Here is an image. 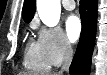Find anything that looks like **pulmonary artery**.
<instances>
[{
	"label": "pulmonary artery",
	"mask_w": 107,
	"mask_h": 75,
	"mask_svg": "<svg viewBox=\"0 0 107 75\" xmlns=\"http://www.w3.org/2000/svg\"><path fill=\"white\" fill-rule=\"evenodd\" d=\"M62 4H63V7L66 9V10H73L75 8V2L74 0H63L62 1Z\"/></svg>",
	"instance_id": "pulmonary-artery-1"
}]
</instances>
